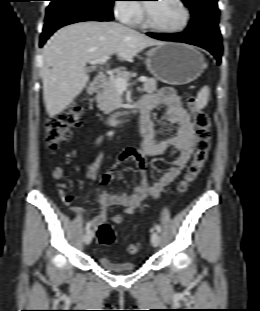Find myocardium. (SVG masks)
Wrapping results in <instances>:
<instances>
[{"mask_svg": "<svg viewBox=\"0 0 260 311\" xmlns=\"http://www.w3.org/2000/svg\"><path fill=\"white\" fill-rule=\"evenodd\" d=\"M175 1L179 4V6L182 8L184 12V19L180 26L175 27V28H163V27L156 25L151 19L148 4H144L142 7V13H143V19H144L145 25L154 31L166 33V34H176V33H180L186 30L191 21L190 9L184 0H175Z\"/></svg>", "mask_w": 260, "mask_h": 311, "instance_id": "obj_1", "label": "myocardium"}]
</instances>
